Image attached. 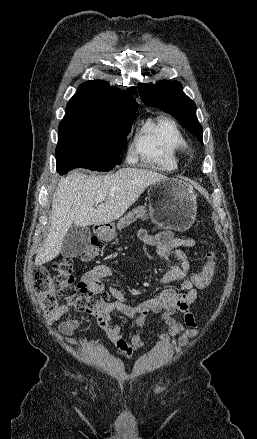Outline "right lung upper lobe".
Listing matches in <instances>:
<instances>
[{
  "mask_svg": "<svg viewBox=\"0 0 257 439\" xmlns=\"http://www.w3.org/2000/svg\"><path fill=\"white\" fill-rule=\"evenodd\" d=\"M135 87L121 91L102 80L89 81L79 86L77 93L66 107V115H93L106 118H121L135 113L138 104Z\"/></svg>",
  "mask_w": 257,
  "mask_h": 439,
  "instance_id": "1",
  "label": "right lung upper lobe"
}]
</instances>
